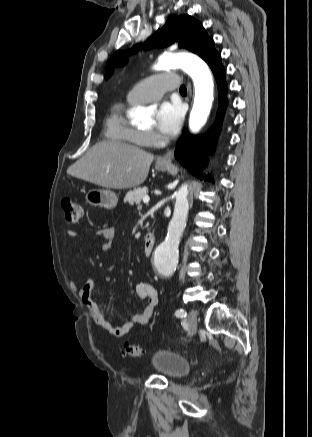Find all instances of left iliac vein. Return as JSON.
Masks as SVG:
<instances>
[{"label": "left iliac vein", "mask_w": 312, "mask_h": 437, "mask_svg": "<svg viewBox=\"0 0 312 437\" xmlns=\"http://www.w3.org/2000/svg\"><path fill=\"white\" fill-rule=\"evenodd\" d=\"M186 323L188 327V335H193L197 328V315L193 310L188 312Z\"/></svg>", "instance_id": "1"}]
</instances>
